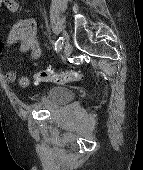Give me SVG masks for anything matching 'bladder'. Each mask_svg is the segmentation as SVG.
<instances>
[{
	"mask_svg": "<svg viewBox=\"0 0 143 170\" xmlns=\"http://www.w3.org/2000/svg\"><path fill=\"white\" fill-rule=\"evenodd\" d=\"M48 97L53 107H60L73 100V93L67 87L55 86L49 89Z\"/></svg>",
	"mask_w": 143,
	"mask_h": 170,
	"instance_id": "1",
	"label": "bladder"
}]
</instances>
